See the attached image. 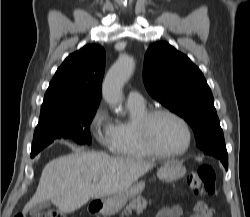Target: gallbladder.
Returning a JSON list of instances; mask_svg holds the SVG:
<instances>
[{
	"label": "gallbladder",
	"mask_w": 250,
	"mask_h": 217,
	"mask_svg": "<svg viewBox=\"0 0 250 217\" xmlns=\"http://www.w3.org/2000/svg\"><path fill=\"white\" fill-rule=\"evenodd\" d=\"M50 206V202L49 201H45V202H42L36 206H34L31 210H30V213L31 214H37L38 212H40L41 210L43 209H46Z\"/></svg>",
	"instance_id": "bac80fb5"
}]
</instances>
